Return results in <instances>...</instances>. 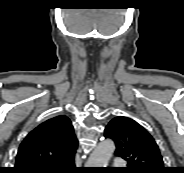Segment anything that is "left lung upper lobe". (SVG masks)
<instances>
[{
    "label": "left lung upper lobe",
    "instance_id": "1",
    "mask_svg": "<svg viewBox=\"0 0 184 173\" xmlns=\"http://www.w3.org/2000/svg\"><path fill=\"white\" fill-rule=\"evenodd\" d=\"M105 137L115 142V155L128 162L125 173H166L155 140L133 119L115 117L105 128Z\"/></svg>",
    "mask_w": 184,
    "mask_h": 173
}]
</instances>
